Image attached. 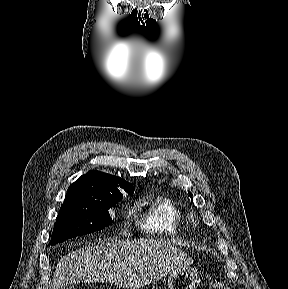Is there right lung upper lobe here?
Segmentation results:
<instances>
[{"label": "right lung upper lobe", "instance_id": "right-lung-upper-lobe-1", "mask_svg": "<svg viewBox=\"0 0 288 289\" xmlns=\"http://www.w3.org/2000/svg\"><path fill=\"white\" fill-rule=\"evenodd\" d=\"M119 188L124 189L126 192L134 191L133 185L120 177L91 170L71 184L67 194L95 196L107 191H119Z\"/></svg>", "mask_w": 288, "mask_h": 289}]
</instances>
